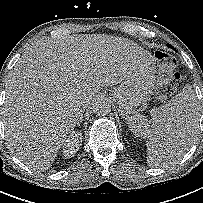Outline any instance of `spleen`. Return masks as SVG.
Segmentation results:
<instances>
[{
    "mask_svg": "<svg viewBox=\"0 0 203 203\" xmlns=\"http://www.w3.org/2000/svg\"><path fill=\"white\" fill-rule=\"evenodd\" d=\"M197 101L192 86L185 85L168 103L151 110V120L134 112L128 126L136 137L149 138L147 141L148 163L155 166L169 167L181 159L185 151L192 145L196 133L198 118L196 115ZM152 122V125H150ZM176 124L180 128L178 134L185 139L167 138L164 132H169ZM183 135H182V132Z\"/></svg>",
    "mask_w": 203,
    "mask_h": 203,
    "instance_id": "spleen-1",
    "label": "spleen"
}]
</instances>
